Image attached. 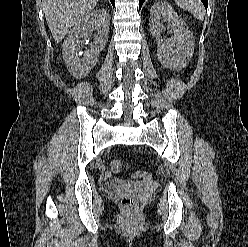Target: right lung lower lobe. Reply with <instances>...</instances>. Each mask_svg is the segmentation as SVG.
<instances>
[{
    "mask_svg": "<svg viewBox=\"0 0 248 247\" xmlns=\"http://www.w3.org/2000/svg\"><path fill=\"white\" fill-rule=\"evenodd\" d=\"M110 1H111L112 5L114 6V0H110Z\"/></svg>",
    "mask_w": 248,
    "mask_h": 247,
    "instance_id": "right-lung-lower-lobe-1",
    "label": "right lung lower lobe"
}]
</instances>
